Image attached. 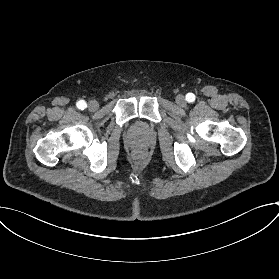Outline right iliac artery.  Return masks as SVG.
Segmentation results:
<instances>
[{"mask_svg": "<svg viewBox=\"0 0 279 279\" xmlns=\"http://www.w3.org/2000/svg\"><path fill=\"white\" fill-rule=\"evenodd\" d=\"M76 105L81 110H84L87 107V104L84 100L78 101Z\"/></svg>", "mask_w": 279, "mask_h": 279, "instance_id": "1", "label": "right iliac artery"}]
</instances>
